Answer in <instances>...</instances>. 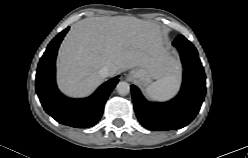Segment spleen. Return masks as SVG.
Here are the masks:
<instances>
[{"label":"spleen","mask_w":248,"mask_h":158,"mask_svg":"<svg viewBox=\"0 0 248 158\" xmlns=\"http://www.w3.org/2000/svg\"><path fill=\"white\" fill-rule=\"evenodd\" d=\"M180 83L181 74L179 70H174L150 84L145 92L151 100L165 101L172 98L178 92Z\"/></svg>","instance_id":"3e777b00"}]
</instances>
